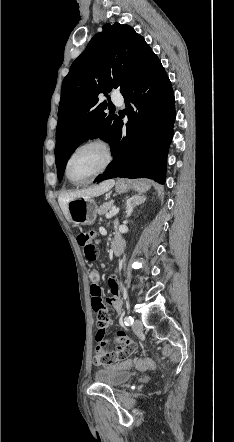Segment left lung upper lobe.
I'll return each instance as SVG.
<instances>
[{
  "label": "left lung upper lobe",
  "mask_w": 234,
  "mask_h": 442,
  "mask_svg": "<svg viewBox=\"0 0 234 442\" xmlns=\"http://www.w3.org/2000/svg\"><path fill=\"white\" fill-rule=\"evenodd\" d=\"M152 54L150 46L131 26L107 23L73 62L62 83L58 108V179H62L73 151L87 139L100 137L112 147L120 119L104 112L107 103L100 102L98 95L113 88L123 92Z\"/></svg>",
  "instance_id": "5c2ea615"
}]
</instances>
